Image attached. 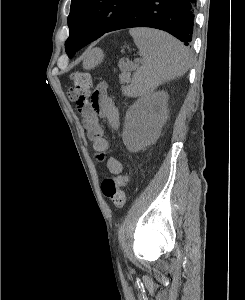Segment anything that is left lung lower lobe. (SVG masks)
Instances as JSON below:
<instances>
[{"instance_id": "1", "label": "left lung lower lobe", "mask_w": 245, "mask_h": 300, "mask_svg": "<svg viewBox=\"0 0 245 300\" xmlns=\"http://www.w3.org/2000/svg\"><path fill=\"white\" fill-rule=\"evenodd\" d=\"M196 2L197 0H135L105 33L132 27H151L172 34L188 46L193 36ZM98 38L92 37L76 47V50Z\"/></svg>"}]
</instances>
